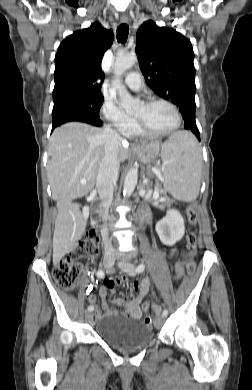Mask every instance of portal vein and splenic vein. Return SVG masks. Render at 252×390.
I'll use <instances>...</instances> for the list:
<instances>
[{"label":"portal vein and splenic vein","instance_id":"18ae733b","mask_svg":"<svg viewBox=\"0 0 252 390\" xmlns=\"http://www.w3.org/2000/svg\"><path fill=\"white\" fill-rule=\"evenodd\" d=\"M152 171H153L154 173H156V174H159V173H160V172H159L158 170H156L155 168H152ZM144 182L147 183V180H145ZM85 183H86L85 180H81V184H85ZM153 197H154L155 199H157V198L159 197V193H158V192H155V193L153 194Z\"/></svg>","mask_w":252,"mask_h":390}]
</instances>
